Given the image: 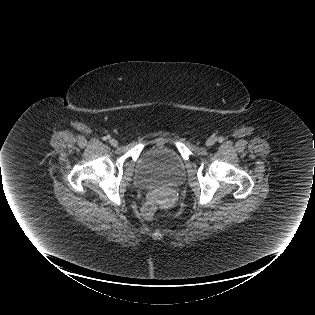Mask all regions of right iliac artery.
I'll return each instance as SVG.
<instances>
[{"mask_svg":"<svg viewBox=\"0 0 315 315\" xmlns=\"http://www.w3.org/2000/svg\"><path fill=\"white\" fill-rule=\"evenodd\" d=\"M108 139H110V136H104V137H103V140H104V141H106V140H108Z\"/></svg>","mask_w":315,"mask_h":315,"instance_id":"1","label":"right iliac artery"}]
</instances>
